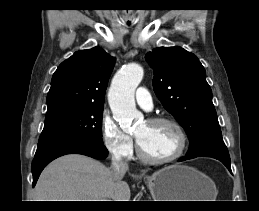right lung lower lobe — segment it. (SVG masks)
I'll return each instance as SVG.
<instances>
[{
	"label": "right lung lower lobe",
	"instance_id": "1",
	"mask_svg": "<svg viewBox=\"0 0 259 211\" xmlns=\"http://www.w3.org/2000/svg\"><path fill=\"white\" fill-rule=\"evenodd\" d=\"M71 153L83 154L95 159H105L108 155V150L103 144L79 138H57L38 142L32 162L33 187L41 171L48 163L57 157Z\"/></svg>",
	"mask_w": 259,
	"mask_h": 211
}]
</instances>
